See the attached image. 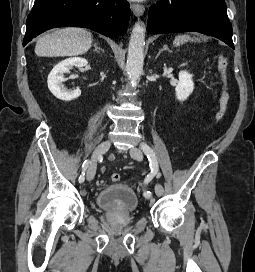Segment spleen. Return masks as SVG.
<instances>
[{
  "instance_id": "obj_1",
  "label": "spleen",
  "mask_w": 255,
  "mask_h": 272,
  "mask_svg": "<svg viewBox=\"0 0 255 272\" xmlns=\"http://www.w3.org/2000/svg\"><path fill=\"white\" fill-rule=\"evenodd\" d=\"M188 41H199L198 39H193L189 35H180L175 38L173 44L175 46H179L180 44L182 45L183 43H186Z\"/></svg>"
}]
</instances>
